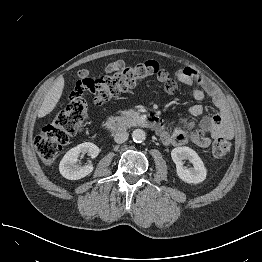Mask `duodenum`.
<instances>
[{"mask_svg": "<svg viewBox=\"0 0 262 262\" xmlns=\"http://www.w3.org/2000/svg\"><path fill=\"white\" fill-rule=\"evenodd\" d=\"M155 125L156 123L152 119L134 120L122 116L108 119L105 123V128L110 132H117L136 126L152 129Z\"/></svg>", "mask_w": 262, "mask_h": 262, "instance_id": "410a0bca", "label": "duodenum"}]
</instances>
